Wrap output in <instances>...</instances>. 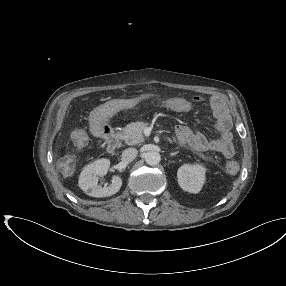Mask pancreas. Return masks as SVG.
I'll list each match as a JSON object with an SVG mask.
<instances>
[{"label": "pancreas", "mask_w": 286, "mask_h": 286, "mask_svg": "<svg viewBox=\"0 0 286 286\" xmlns=\"http://www.w3.org/2000/svg\"><path fill=\"white\" fill-rule=\"evenodd\" d=\"M149 123L145 122H133L128 124L119 135L128 145H136L142 143L145 139L143 136V131ZM176 141V139L174 138Z\"/></svg>", "instance_id": "obj_1"}]
</instances>
